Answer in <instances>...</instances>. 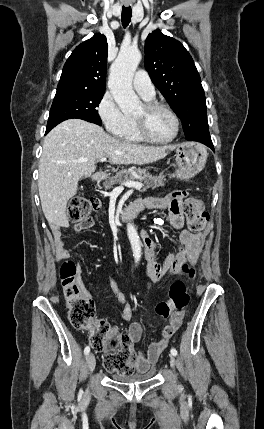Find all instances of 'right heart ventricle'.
<instances>
[{"label":"right heart ventricle","instance_id":"1","mask_svg":"<svg viewBox=\"0 0 264 429\" xmlns=\"http://www.w3.org/2000/svg\"><path fill=\"white\" fill-rule=\"evenodd\" d=\"M119 137L126 142L137 143L143 141L137 131L134 118L131 117H128V125Z\"/></svg>","mask_w":264,"mask_h":429}]
</instances>
